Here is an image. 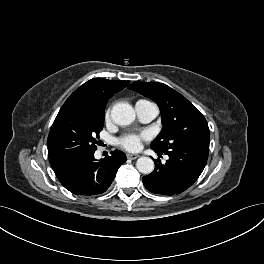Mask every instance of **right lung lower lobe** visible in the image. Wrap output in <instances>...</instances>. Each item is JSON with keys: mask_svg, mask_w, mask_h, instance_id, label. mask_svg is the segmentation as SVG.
I'll return each mask as SVG.
<instances>
[{"mask_svg": "<svg viewBox=\"0 0 264 264\" xmlns=\"http://www.w3.org/2000/svg\"><path fill=\"white\" fill-rule=\"evenodd\" d=\"M126 162L123 152L115 150L111 156L97 161L94 152L74 153L50 162L60 183L76 195H96L105 192Z\"/></svg>", "mask_w": 264, "mask_h": 264, "instance_id": "1", "label": "right lung lower lobe"}]
</instances>
